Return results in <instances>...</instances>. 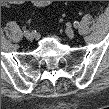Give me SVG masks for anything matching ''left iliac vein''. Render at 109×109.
Masks as SVG:
<instances>
[{"mask_svg":"<svg viewBox=\"0 0 109 109\" xmlns=\"http://www.w3.org/2000/svg\"><path fill=\"white\" fill-rule=\"evenodd\" d=\"M65 33L69 38L74 37V30L71 27H67L66 30H65Z\"/></svg>","mask_w":109,"mask_h":109,"instance_id":"1","label":"left iliac vein"}]
</instances>
